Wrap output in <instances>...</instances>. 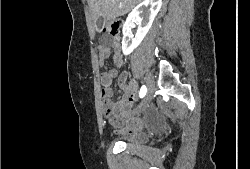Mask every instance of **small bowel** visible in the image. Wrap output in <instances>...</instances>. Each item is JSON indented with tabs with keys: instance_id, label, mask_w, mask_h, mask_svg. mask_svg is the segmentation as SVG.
I'll use <instances>...</instances> for the list:
<instances>
[{
	"instance_id": "1",
	"label": "small bowel",
	"mask_w": 250,
	"mask_h": 169,
	"mask_svg": "<svg viewBox=\"0 0 250 169\" xmlns=\"http://www.w3.org/2000/svg\"><path fill=\"white\" fill-rule=\"evenodd\" d=\"M111 54L110 46H100L99 63L101 65L109 58ZM114 62L121 66L124 62L123 55L120 50L116 49L114 54ZM117 75L115 69H109L101 75L100 81L102 85V109L106 116L110 117V122L118 125L121 120L125 119L137 100L138 85L135 80H128V74L122 73L118 78V84L123 90L122 97L114 103L112 101L113 90L111 88L112 79ZM141 128V122L137 118H130L126 122L125 131L129 134L138 131Z\"/></svg>"
}]
</instances>
